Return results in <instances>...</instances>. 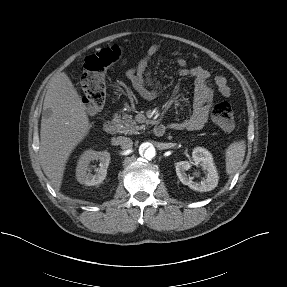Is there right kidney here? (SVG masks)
<instances>
[{"mask_svg":"<svg viewBox=\"0 0 287 287\" xmlns=\"http://www.w3.org/2000/svg\"><path fill=\"white\" fill-rule=\"evenodd\" d=\"M99 160V168L95 174L91 173L89 164L91 161ZM110 163V153L107 151L86 150L80 156L76 168V178L81 184L87 186L97 185L103 182Z\"/></svg>","mask_w":287,"mask_h":287,"instance_id":"obj_1","label":"right kidney"}]
</instances>
